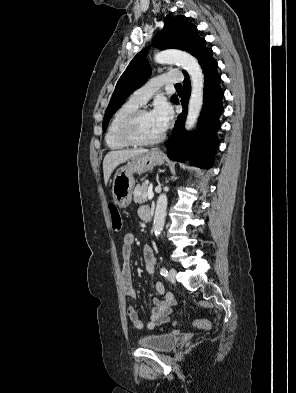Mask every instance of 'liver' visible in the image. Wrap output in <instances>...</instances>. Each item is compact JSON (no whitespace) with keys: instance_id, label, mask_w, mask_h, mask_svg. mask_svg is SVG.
I'll return each mask as SVG.
<instances>
[{"instance_id":"6515ba94","label":"liver","mask_w":296,"mask_h":393,"mask_svg":"<svg viewBox=\"0 0 296 393\" xmlns=\"http://www.w3.org/2000/svg\"><path fill=\"white\" fill-rule=\"evenodd\" d=\"M145 153H148V149H127L110 151L109 153H107L103 160V173L105 184L108 183L111 173L118 165L126 162L128 159H132L135 156Z\"/></svg>"}]
</instances>
